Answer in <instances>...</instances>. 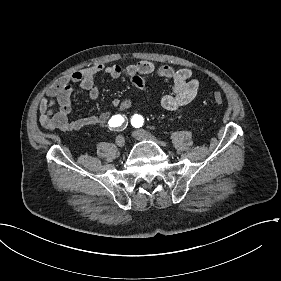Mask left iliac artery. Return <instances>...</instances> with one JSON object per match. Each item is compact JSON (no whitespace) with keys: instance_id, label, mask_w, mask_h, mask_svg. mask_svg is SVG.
I'll return each instance as SVG.
<instances>
[{"instance_id":"left-iliac-artery-1","label":"left iliac artery","mask_w":281,"mask_h":281,"mask_svg":"<svg viewBox=\"0 0 281 281\" xmlns=\"http://www.w3.org/2000/svg\"><path fill=\"white\" fill-rule=\"evenodd\" d=\"M143 123H144V119L141 115L135 114V115L132 116L131 124L135 128L141 127L143 125Z\"/></svg>"}]
</instances>
